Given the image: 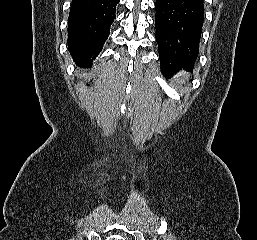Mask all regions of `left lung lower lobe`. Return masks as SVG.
Returning a JSON list of instances; mask_svg holds the SVG:
<instances>
[{
	"label": "left lung lower lobe",
	"instance_id": "1",
	"mask_svg": "<svg viewBox=\"0 0 257 240\" xmlns=\"http://www.w3.org/2000/svg\"><path fill=\"white\" fill-rule=\"evenodd\" d=\"M155 38L166 77L191 70L199 53L204 23L203 0H156Z\"/></svg>",
	"mask_w": 257,
	"mask_h": 240
}]
</instances>
